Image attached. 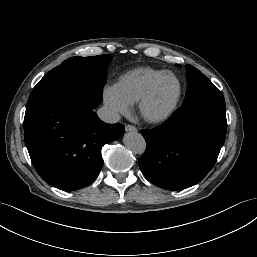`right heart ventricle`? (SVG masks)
<instances>
[{"label":"right heart ventricle","instance_id":"right-heart-ventricle-1","mask_svg":"<svg viewBox=\"0 0 257 257\" xmlns=\"http://www.w3.org/2000/svg\"><path fill=\"white\" fill-rule=\"evenodd\" d=\"M166 70L139 67L123 73L114 85L117 93L130 105L138 104L154 79Z\"/></svg>","mask_w":257,"mask_h":257}]
</instances>
